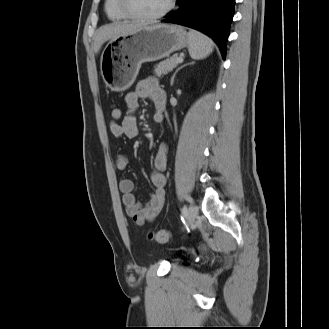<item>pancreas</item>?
<instances>
[{"label": "pancreas", "instance_id": "cf45deb5", "mask_svg": "<svg viewBox=\"0 0 329 329\" xmlns=\"http://www.w3.org/2000/svg\"><path fill=\"white\" fill-rule=\"evenodd\" d=\"M177 56H172L170 58H167L164 61H161L155 66V75L157 77H161L163 75L168 74L170 71H172L177 66Z\"/></svg>", "mask_w": 329, "mask_h": 329}]
</instances>
